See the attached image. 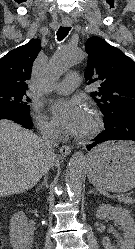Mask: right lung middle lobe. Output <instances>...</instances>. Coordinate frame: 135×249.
Returning a JSON list of instances; mask_svg holds the SVG:
<instances>
[{"label":"right lung middle lobe","instance_id":"1","mask_svg":"<svg viewBox=\"0 0 135 249\" xmlns=\"http://www.w3.org/2000/svg\"><path fill=\"white\" fill-rule=\"evenodd\" d=\"M29 99L25 91H0V104L9 105L29 113Z\"/></svg>","mask_w":135,"mask_h":249}]
</instances>
